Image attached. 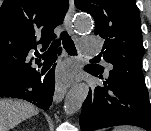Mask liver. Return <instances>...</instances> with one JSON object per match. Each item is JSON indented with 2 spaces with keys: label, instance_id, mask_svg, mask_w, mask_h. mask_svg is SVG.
Returning a JSON list of instances; mask_svg holds the SVG:
<instances>
[{
  "label": "liver",
  "instance_id": "6515ba94",
  "mask_svg": "<svg viewBox=\"0 0 151 131\" xmlns=\"http://www.w3.org/2000/svg\"><path fill=\"white\" fill-rule=\"evenodd\" d=\"M32 104L19 101L0 99V131H9L23 120L38 114Z\"/></svg>",
  "mask_w": 151,
  "mask_h": 131
}]
</instances>
